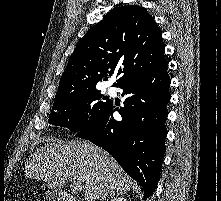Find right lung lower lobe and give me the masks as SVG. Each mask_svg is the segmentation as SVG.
<instances>
[{"instance_id":"obj_1","label":"right lung lower lobe","mask_w":221,"mask_h":201,"mask_svg":"<svg viewBox=\"0 0 221 201\" xmlns=\"http://www.w3.org/2000/svg\"><path fill=\"white\" fill-rule=\"evenodd\" d=\"M168 63L164 60L155 69L129 78L121 83L123 107L118 109L122 119L113 118V102L91 125L75 135L102 147L110 153L144 189V200L149 198L160 176L166 151L167 130L164 121L168 116L166 104L170 78Z\"/></svg>"}]
</instances>
